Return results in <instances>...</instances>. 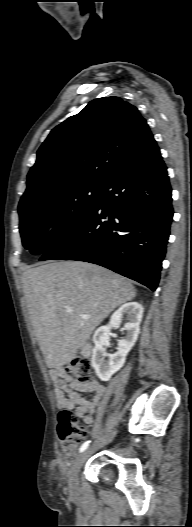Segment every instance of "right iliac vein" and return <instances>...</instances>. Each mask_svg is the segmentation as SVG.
Listing matches in <instances>:
<instances>
[{
	"instance_id": "right-iliac-vein-1",
	"label": "right iliac vein",
	"mask_w": 192,
	"mask_h": 527,
	"mask_svg": "<svg viewBox=\"0 0 192 527\" xmlns=\"http://www.w3.org/2000/svg\"><path fill=\"white\" fill-rule=\"evenodd\" d=\"M116 432H113L112 435L108 438H105L104 440H102L98 445V446H102L108 442H110L114 435H115ZM91 449H88L86 451H84L82 454H80L76 459L75 461L73 462V465L70 469V472H69V487L71 489V491L73 492H76L78 490V475H79V472H80V469L82 467V465L84 464V462L87 460L88 456H89V453H90Z\"/></svg>"
}]
</instances>
